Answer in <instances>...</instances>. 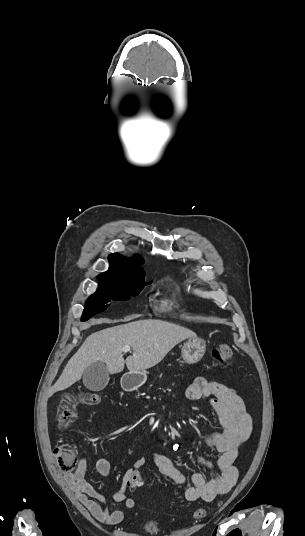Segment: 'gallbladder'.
Returning a JSON list of instances; mask_svg holds the SVG:
<instances>
[{
    "instance_id": "obj_1",
    "label": "gallbladder",
    "mask_w": 305,
    "mask_h": 536,
    "mask_svg": "<svg viewBox=\"0 0 305 536\" xmlns=\"http://www.w3.org/2000/svg\"><path fill=\"white\" fill-rule=\"evenodd\" d=\"M109 380V372L104 362H95V364L87 366L83 372V384L92 392L104 390Z\"/></svg>"
}]
</instances>
